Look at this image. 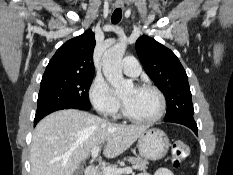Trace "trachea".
<instances>
[{"instance_id":"trachea-1","label":"trachea","mask_w":233,"mask_h":175,"mask_svg":"<svg viewBox=\"0 0 233 175\" xmlns=\"http://www.w3.org/2000/svg\"><path fill=\"white\" fill-rule=\"evenodd\" d=\"M122 17V11L120 8L115 9V11L112 14L111 21L113 24H117L120 22Z\"/></svg>"}]
</instances>
